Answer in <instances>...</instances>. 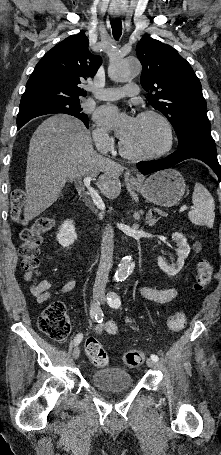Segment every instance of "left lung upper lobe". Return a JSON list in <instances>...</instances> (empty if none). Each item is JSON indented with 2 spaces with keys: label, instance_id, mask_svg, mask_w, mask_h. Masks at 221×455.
Returning <instances> with one entry per match:
<instances>
[{
  "label": "left lung upper lobe",
  "instance_id": "1",
  "mask_svg": "<svg viewBox=\"0 0 221 455\" xmlns=\"http://www.w3.org/2000/svg\"><path fill=\"white\" fill-rule=\"evenodd\" d=\"M136 54L143 67L141 85L150 92L147 100L170 121L179 144L194 136L212 138L201 83L190 64L151 37H142Z\"/></svg>",
  "mask_w": 221,
  "mask_h": 455
}]
</instances>
